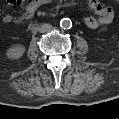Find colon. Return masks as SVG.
Here are the masks:
<instances>
[{
    "label": "colon",
    "instance_id": "colon-1",
    "mask_svg": "<svg viewBox=\"0 0 119 119\" xmlns=\"http://www.w3.org/2000/svg\"><path fill=\"white\" fill-rule=\"evenodd\" d=\"M100 8V6H97V9H99Z\"/></svg>",
    "mask_w": 119,
    "mask_h": 119
}]
</instances>
